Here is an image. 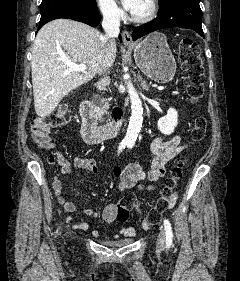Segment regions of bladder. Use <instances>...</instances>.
Wrapping results in <instances>:
<instances>
[{"label": "bladder", "mask_w": 240, "mask_h": 281, "mask_svg": "<svg viewBox=\"0 0 240 281\" xmlns=\"http://www.w3.org/2000/svg\"><path fill=\"white\" fill-rule=\"evenodd\" d=\"M134 241V239L132 237H125V238H120L117 240H109V241H105L103 242L106 246L109 247H115V248H119V247H125L130 245L132 242Z\"/></svg>", "instance_id": "bladder-1"}]
</instances>
